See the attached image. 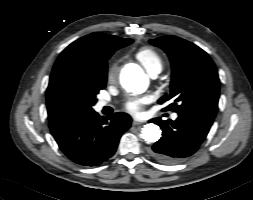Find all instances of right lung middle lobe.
Returning a JSON list of instances; mask_svg holds the SVG:
<instances>
[{"instance_id":"obj_1","label":"right lung middle lobe","mask_w":253,"mask_h":200,"mask_svg":"<svg viewBox=\"0 0 253 200\" xmlns=\"http://www.w3.org/2000/svg\"><path fill=\"white\" fill-rule=\"evenodd\" d=\"M132 42L130 40L124 46ZM106 80L107 65L100 70L65 69L58 80V97L63 108L71 115L93 111L96 95L105 88Z\"/></svg>"}]
</instances>
